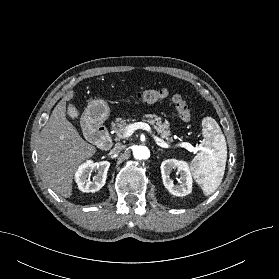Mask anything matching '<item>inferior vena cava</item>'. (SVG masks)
Returning a JSON list of instances; mask_svg holds the SVG:
<instances>
[{
	"instance_id": "1",
	"label": "inferior vena cava",
	"mask_w": 279,
	"mask_h": 279,
	"mask_svg": "<svg viewBox=\"0 0 279 279\" xmlns=\"http://www.w3.org/2000/svg\"><path fill=\"white\" fill-rule=\"evenodd\" d=\"M123 146L120 143L115 144L114 148L112 149V153H118L122 150Z\"/></svg>"
}]
</instances>
